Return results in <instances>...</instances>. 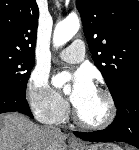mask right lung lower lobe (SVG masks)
<instances>
[{
  "instance_id": "98d812e1",
  "label": "right lung lower lobe",
  "mask_w": 139,
  "mask_h": 150,
  "mask_svg": "<svg viewBox=\"0 0 139 150\" xmlns=\"http://www.w3.org/2000/svg\"><path fill=\"white\" fill-rule=\"evenodd\" d=\"M5 112H20L33 118L26 94L0 88V113Z\"/></svg>"
}]
</instances>
